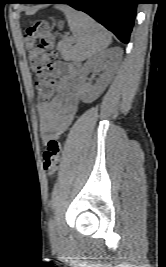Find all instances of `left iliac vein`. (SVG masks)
<instances>
[{
    "label": "left iliac vein",
    "instance_id": "obj_1",
    "mask_svg": "<svg viewBox=\"0 0 166 267\" xmlns=\"http://www.w3.org/2000/svg\"><path fill=\"white\" fill-rule=\"evenodd\" d=\"M52 240L56 241V234L55 233L52 234Z\"/></svg>",
    "mask_w": 166,
    "mask_h": 267
}]
</instances>
